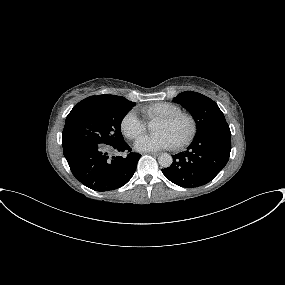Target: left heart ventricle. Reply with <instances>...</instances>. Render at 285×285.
Wrapping results in <instances>:
<instances>
[{
	"label": "left heart ventricle",
	"mask_w": 285,
	"mask_h": 285,
	"mask_svg": "<svg viewBox=\"0 0 285 285\" xmlns=\"http://www.w3.org/2000/svg\"><path fill=\"white\" fill-rule=\"evenodd\" d=\"M187 130L188 124L183 119L177 120L173 123H164L157 120L153 126V131L155 133L162 132L167 134L174 144L179 142L185 136Z\"/></svg>",
	"instance_id": "b2bd125f"
}]
</instances>
